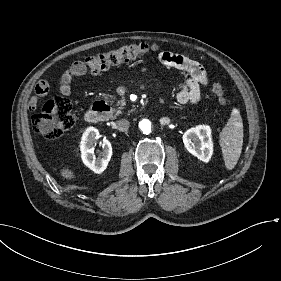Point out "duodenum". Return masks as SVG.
Wrapping results in <instances>:
<instances>
[{"instance_id":"duodenum-1","label":"duodenum","mask_w":281,"mask_h":281,"mask_svg":"<svg viewBox=\"0 0 281 281\" xmlns=\"http://www.w3.org/2000/svg\"><path fill=\"white\" fill-rule=\"evenodd\" d=\"M109 107L104 101H96L85 114V120L90 124L99 122L107 113Z\"/></svg>"}]
</instances>
